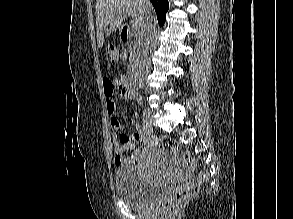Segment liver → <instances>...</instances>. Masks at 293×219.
<instances>
[{
    "instance_id": "obj_1",
    "label": "liver",
    "mask_w": 293,
    "mask_h": 219,
    "mask_svg": "<svg viewBox=\"0 0 293 219\" xmlns=\"http://www.w3.org/2000/svg\"><path fill=\"white\" fill-rule=\"evenodd\" d=\"M126 13L133 16L132 26L140 33L144 29L147 17L153 21L154 10L147 7L144 0H97L96 1V29L97 45L101 48L104 44V30L109 26L107 36L123 27Z\"/></svg>"
}]
</instances>
